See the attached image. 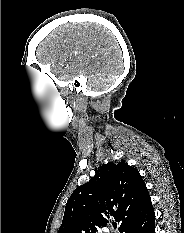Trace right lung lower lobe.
<instances>
[{"label":"right lung lower lobe","instance_id":"obj_1","mask_svg":"<svg viewBox=\"0 0 184 233\" xmlns=\"http://www.w3.org/2000/svg\"><path fill=\"white\" fill-rule=\"evenodd\" d=\"M155 213L152 205L134 221L126 225L121 233H155Z\"/></svg>","mask_w":184,"mask_h":233}]
</instances>
